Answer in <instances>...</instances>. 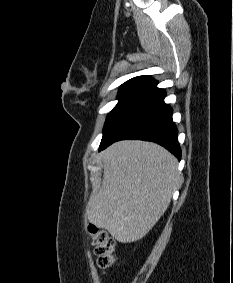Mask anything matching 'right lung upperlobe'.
<instances>
[{"instance_id":"1","label":"right lung upper lobe","mask_w":233,"mask_h":283,"mask_svg":"<svg viewBox=\"0 0 233 283\" xmlns=\"http://www.w3.org/2000/svg\"><path fill=\"white\" fill-rule=\"evenodd\" d=\"M129 82H150L152 84L153 82H155V80L154 78H151L149 76H138L128 80L125 83H129Z\"/></svg>"}]
</instances>
